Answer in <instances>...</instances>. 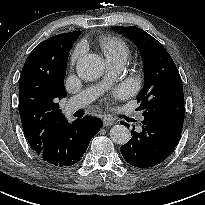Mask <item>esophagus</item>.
<instances>
[{
    "label": "esophagus",
    "instance_id": "esophagus-1",
    "mask_svg": "<svg viewBox=\"0 0 205 205\" xmlns=\"http://www.w3.org/2000/svg\"><path fill=\"white\" fill-rule=\"evenodd\" d=\"M102 123H103V126L106 127V126H110V125L114 124V121L110 117L104 116L102 118Z\"/></svg>",
    "mask_w": 205,
    "mask_h": 205
}]
</instances>
